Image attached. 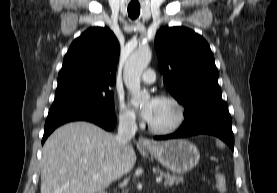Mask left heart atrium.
Here are the masks:
<instances>
[{
    "label": "left heart atrium",
    "mask_w": 277,
    "mask_h": 193,
    "mask_svg": "<svg viewBox=\"0 0 277 193\" xmlns=\"http://www.w3.org/2000/svg\"><path fill=\"white\" fill-rule=\"evenodd\" d=\"M158 99L156 98H152L151 100H149L146 105L143 107V109L141 110V116L146 120V121H150L153 117L154 111H155V107L157 104Z\"/></svg>",
    "instance_id": "left-heart-atrium-1"
}]
</instances>
